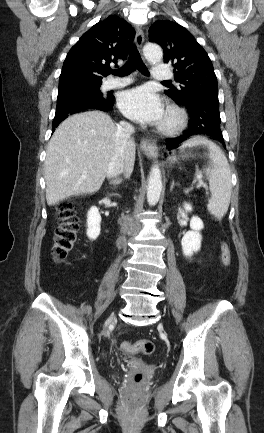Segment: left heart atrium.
<instances>
[{
	"label": "left heart atrium",
	"instance_id": "1",
	"mask_svg": "<svg viewBox=\"0 0 264 433\" xmlns=\"http://www.w3.org/2000/svg\"><path fill=\"white\" fill-rule=\"evenodd\" d=\"M122 113L140 123H159L164 118L161 98L146 86L123 92L118 99Z\"/></svg>",
	"mask_w": 264,
	"mask_h": 433
}]
</instances>
